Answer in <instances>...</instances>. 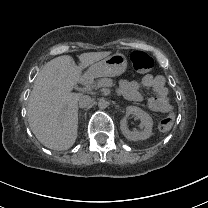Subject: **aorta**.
Listing matches in <instances>:
<instances>
[{
    "instance_id": "1",
    "label": "aorta",
    "mask_w": 208,
    "mask_h": 208,
    "mask_svg": "<svg viewBox=\"0 0 208 208\" xmlns=\"http://www.w3.org/2000/svg\"><path fill=\"white\" fill-rule=\"evenodd\" d=\"M105 106H106V101L103 100V99H100L99 100V108L100 109H103Z\"/></svg>"
}]
</instances>
